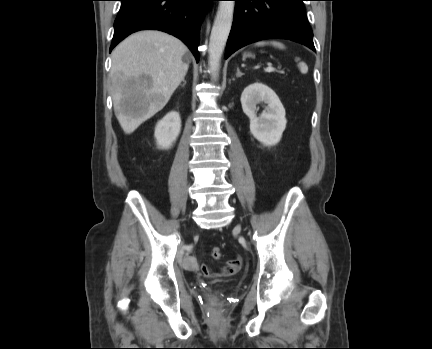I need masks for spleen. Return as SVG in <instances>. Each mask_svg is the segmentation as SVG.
Segmentation results:
<instances>
[{
  "label": "spleen",
  "mask_w": 432,
  "mask_h": 349,
  "mask_svg": "<svg viewBox=\"0 0 432 349\" xmlns=\"http://www.w3.org/2000/svg\"><path fill=\"white\" fill-rule=\"evenodd\" d=\"M269 43L275 47L280 48V49L284 48V45L280 42H277V41H271V42L260 41V42L256 43V46H263V45L269 44ZM296 60L298 61L299 59L297 58ZM298 67H299L301 73L306 74L308 72V66L304 62H300L298 64Z\"/></svg>",
  "instance_id": "3e777b00"
}]
</instances>
